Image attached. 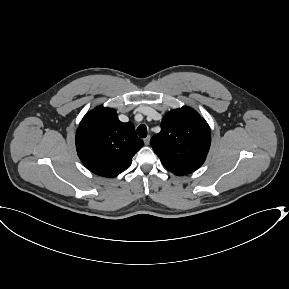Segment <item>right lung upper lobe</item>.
Instances as JSON below:
<instances>
[{
    "label": "right lung upper lobe",
    "mask_w": 289,
    "mask_h": 289,
    "mask_svg": "<svg viewBox=\"0 0 289 289\" xmlns=\"http://www.w3.org/2000/svg\"><path fill=\"white\" fill-rule=\"evenodd\" d=\"M75 141L82 163L91 172L108 178L127 169L144 145L131 122L122 123L114 109L103 106L83 117Z\"/></svg>",
    "instance_id": "cb5924a9"
}]
</instances>
